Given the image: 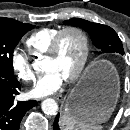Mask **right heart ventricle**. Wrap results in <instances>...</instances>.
I'll list each match as a JSON object with an SVG mask.
<instances>
[{"label":"right heart ventricle","mask_w":130,"mask_h":130,"mask_svg":"<svg viewBox=\"0 0 130 130\" xmlns=\"http://www.w3.org/2000/svg\"><path fill=\"white\" fill-rule=\"evenodd\" d=\"M59 30L57 27H43L31 33L25 41L30 54L35 58L44 56Z\"/></svg>","instance_id":"right-heart-ventricle-1"}]
</instances>
